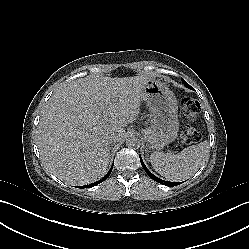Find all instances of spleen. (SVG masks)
<instances>
[{"label": "spleen", "instance_id": "1", "mask_svg": "<svg viewBox=\"0 0 249 249\" xmlns=\"http://www.w3.org/2000/svg\"><path fill=\"white\" fill-rule=\"evenodd\" d=\"M209 156L207 141L184 148L180 153L155 152L150 161L157 173L167 180L179 181L197 170Z\"/></svg>", "mask_w": 249, "mask_h": 249}]
</instances>
